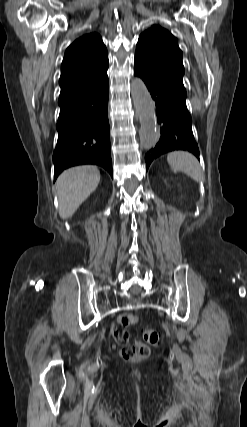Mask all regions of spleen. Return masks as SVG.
Wrapping results in <instances>:
<instances>
[{
	"instance_id": "spleen-1",
	"label": "spleen",
	"mask_w": 247,
	"mask_h": 427,
	"mask_svg": "<svg viewBox=\"0 0 247 427\" xmlns=\"http://www.w3.org/2000/svg\"><path fill=\"white\" fill-rule=\"evenodd\" d=\"M167 161L173 172H183L196 182L203 180L200 164L196 157L189 152L174 151L167 155Z\"/></svg>"
}]
</instances>
